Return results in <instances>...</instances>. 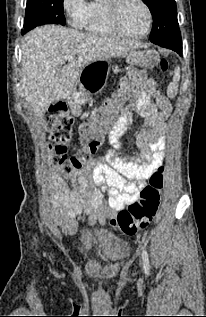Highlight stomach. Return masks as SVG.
<instances>
[{
    "label": "stomach",
    "mask_w": 206,
    "mask_h": 317,
    "mask_svg": "<svg viewBox=\"0 0 206 317\" xmlns=\"http://www.w3.org/2000/svg\"><path fill=\"white\" fill-rule=\"evenodd\" d=\"M151 57L148 51L132 50L127 54V63L123 64V69L140 68L147 65L146 58ZM116 69L111 68L110 55H98L97 59H90L89 63L77 76V87L80 94H107L116 88ZM85 101V96L81 102Z\"/></svg>",
    "instance_id": "obj_1"
}]
</instances>
